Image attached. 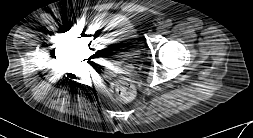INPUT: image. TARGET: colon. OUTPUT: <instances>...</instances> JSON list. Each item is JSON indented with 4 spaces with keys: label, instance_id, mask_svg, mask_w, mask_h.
Wrapping results in <instances>:
<instances>
[{
    "label": "colon",
    "instance_id": "colon-1",
    "mask_svg": "<svg viewBox=\"0 0 253 138\" xmlns=\"http://www.w3.org/2000/svg\"><path fill=\"white\" fill-rule=\"evenodd\" d=\"M111 91L120 102H129L135 96L134 85L125 78L115 80L111 84Z\"/></svg>",
    "mask_w": 253,
    "mask_h": 138
}]
</instances>
